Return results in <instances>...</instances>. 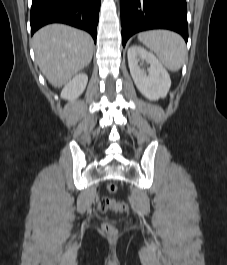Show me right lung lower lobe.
<instances>
[{
	"mask_svg": "<svg viewBox=\"0 0 227 265\" xmlns=\"http://www.w3.org/2000/svg\"><path fill=\"white\" fill-rule=\"evenodd\" d=\"M100 0H32L31 34L42 26L59 22L89 32L97 37Z\"/></svg>",
	"mask_w": 227,
	"mask_h": 265,
	"instance_id": "98d812e1",
	"label": "right lung lower lobe"
}]
</instances>
